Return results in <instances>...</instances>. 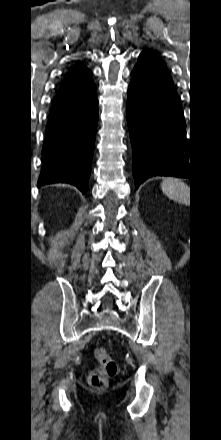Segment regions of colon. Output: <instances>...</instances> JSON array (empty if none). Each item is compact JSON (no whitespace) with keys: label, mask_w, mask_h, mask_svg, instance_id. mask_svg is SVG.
<instances>
[{"label":"colon","mask_w":221,"mask_h":440,"mask_svg":"<svg viewBox=\"0 0 221 440\" xmlns=\"http://www.w3.org/2000/svg\"><path fill=\"white\" fill-rule=\"evenodd\" d=\"M94 356L98 366L90 373L88 382L95 389H104L109 379L117 374L118 365L109 351L103 347L96 348Z\"/></svg>","instance_id":"5ec220e1"}]
</instances>
